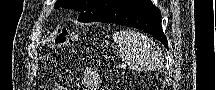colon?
Here are the masks:
<instances>
[{
	"instance_id": "5ec220e1",
	"label": "colon",
	"mask_w": 216,
	"mask_h": 90,
	"mask_svg": "<svg viewBox=\"0 0 216 90\" xmlns=\"http://www.w3.org/2000/svg\"><path fill=\"white\" fill-rule=\"evenodd\" d=\"M73 42V37L68 31H62L58 34L55 41L51 44L53 48H64Z\"/></svg>"
}]
</instances>
